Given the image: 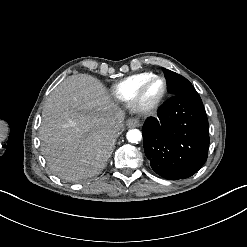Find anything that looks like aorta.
<instances>
[{"label":"aorta","mask_w":247,"mask_h":247,"mask_svg":"<svg viewBox=\"0 0 247 247\" xmlns=\"http://www.w3.org/2000/svg\"><path fill=\"white\" fill-rule=\"evenodd\" d=\"M126 137L130 143H138L142 139V134L138 129H132L127 132Z\"/></svg>","instance_id":"aorta-1"}]
</instances>
